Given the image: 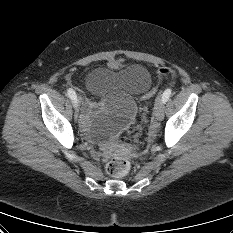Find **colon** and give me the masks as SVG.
<instances>
[{
  "label": "colon",
  "mask_w": 233,
  "mask_h": 233,
  "mask_svg": "<svg viewBox=\"0 0 233 233\" xmlns=\"http://www.w3.org/2000/svg\"><path fill=\"white\" fill-rule=\"evenodd\" d=\"M158 73L160 75H168L172 73V70L167 67H162L158 70ZM155 93H156V87H154L152 90L146 93L143 96V99L149 100L154 96ZM135 151H136V147L133 145H128L125 143L120 144L117 150L118 154L114 156L106 165L107 173L110 176L117 178L125 176L130 169V163L125 158V155L134 153Z\"/></svg>",
  "instance_id": "colon-1"
}]
</instances>
